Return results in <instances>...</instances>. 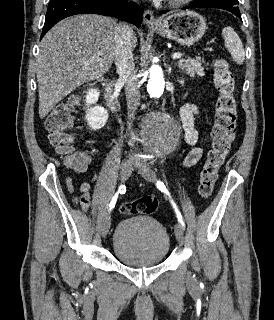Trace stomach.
<instances>
[{
    "instance_id": "obj_1",
    "label": "stomach",
    "mask_w": 274,
    "mask_h": 320,
    "mask_svg": "<svg viewBox=\"0 0 274 320\" xmlns=\"http://www.w3.org/2000/svg\"><path fill=\"white\" fill-rule=\"evenodd\" d=\"M160 22V26H152L150 30L183 46H193L208 30L205 18L196 12H178L160 18Z\"/></svg>"
}]
</instances>
